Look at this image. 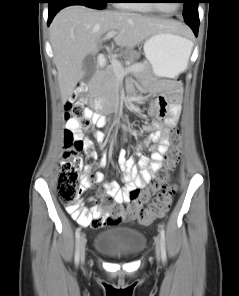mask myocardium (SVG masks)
Wrapping results in <instances>:
<instances>
[{"label": "myocardium", "instance_id": "myocardium-1", "mask_svg": "<svg viewBox=\"0 0 239 296\" xmlns=\"http://www.w3.org/2000/svg\"><path fill=\"white\" fill-rule=\"evenodd\" d=\"M148 4L149 6L152 8V9H155L156 11L160 12V13H163V14H166V13H170V12H167V11H164L162 10L158 4L156 3L155 0H148ZM172 12V11H171Z\"/></svg>", "mask_w": 239, "mask_h": 296}]
</instances>
